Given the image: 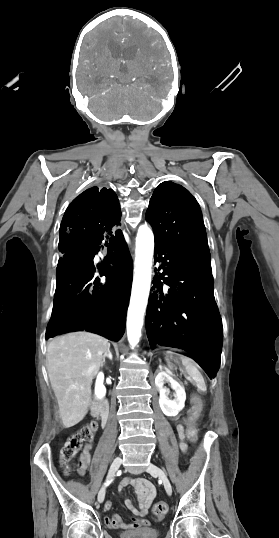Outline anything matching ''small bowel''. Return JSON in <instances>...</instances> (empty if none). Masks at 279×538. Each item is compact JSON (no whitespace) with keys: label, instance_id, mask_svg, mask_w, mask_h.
<instances>
[{"label":"small bowel","instance_id":"c3829d8e","mask_svg":"<svg viewBox=\"0 0 279 538\" xmlns=\"http://www.w3.org/2000/svg\"><path fill=\"white\" fill-rule=\"evenodd\" d=\"M177 432L179 435V438L181 440L180 446L183 451L186 450L187 446L184 443V428L183 426L179 425L177 427ZM90 449L91 446H86L84 451L82 452L80 456V469L81 472H84L87 466L90 462ZM126 486H133L139 501V508H136L133 506L131 500L126 499L125 505L130 510V512L133 514L132 522L130 524H126L122 517L118 514H115L111 517H105V523L109 528L112 529H130V530H142L146 527H148L149 522L145 519V516L147 514V511L151 504L153 503V500L156 495V490L154 485L147 479L144 478H132V477H124L119 485H118V491H122L123 488ZM113 506L112 501L108 500L106 501L104 505L105 510H110Z\"/></svg>","mask_w":279,"mask_h":538}]
</instances>
